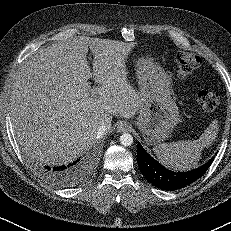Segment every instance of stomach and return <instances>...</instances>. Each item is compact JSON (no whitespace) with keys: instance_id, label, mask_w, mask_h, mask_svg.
I'll return each mask as SVG.
<instances>
[{"instance_id":"obj_1","label":"stomach","mask_w":231,"mask_h":231,"mask_svg":"<svg viewBox=\"0 0 231 231\" xmlns=\"http://www.w3.org/2000/svg\"><path fill=\"white\" fill-rule=\"evenodd\" d=\"M139 109L136 125L149 145L166 140L180 119L179 110L171 97L170 77L151 58L137 61Z\"/></svg>"}]
</instances>
